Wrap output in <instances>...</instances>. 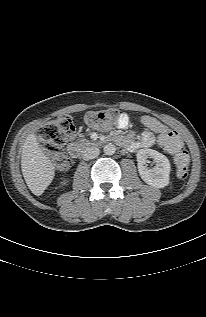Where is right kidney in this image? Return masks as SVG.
I'll use <instances>...</instances> for the list:
<instances>
[{"instance_id":"1","label":"right kidney","mask_w":206,"mask_h":317,"mask_svg":"<svg viewBox=\"0 0 206 317\" xmlns=\"http://www.w3.org/2000/svg\"><path fill=\"white\" fill-rule=\"evenodd\" d=\"M67 183V181L66 180H64V184H66Z\"/></svg>"}]
</instances>
